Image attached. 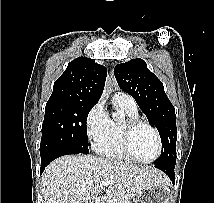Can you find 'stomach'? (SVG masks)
Masks as SVG:
<instances>
[{"instance_id": "0dacf381", "label": "stomach", "mask_w": 214, "mask_h": 203, "mask_svg": "<svg viewBox=\"0 0 214 203\" xmlns=\"http://www.w3.org/2000/svg\"><path fill=\"white\" fill-rule=\"evenodd\" d=\"M135 203H171V192L165 182L153 184L137 196Z\"/></svg>"}]
</instances>
